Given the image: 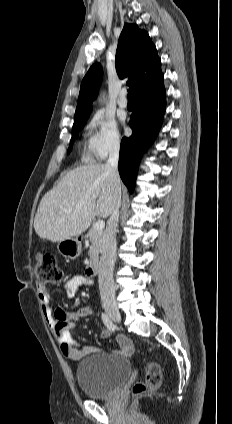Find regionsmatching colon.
Wrapping results in <instances>:
<instances>
[{
    "mask_svg": "<svg viewBox=\"0 0 232 424\" xmlns=\"http://www.w3.org/2000/svg\"><path fill=\"white\" fill-rule=\"evenodd\" d=\"M39 283H57L63 279V272L56 262V257L50 253L37 254L35 272ZM162 372L160 366L153 361L146 364V375L143 381L133 385L131 394L134 397L155 391L161 384Z\"/></svg>",
    "mask_w": 232,
    "mask_h": 424,
    "instance_id": "5ec220e1",
    "label": "colon"
}]
</instances>
